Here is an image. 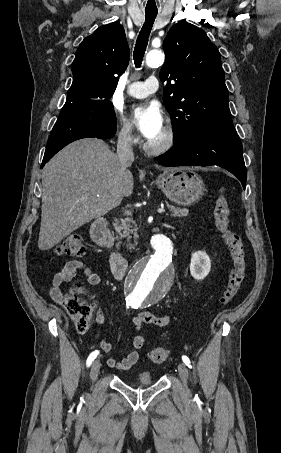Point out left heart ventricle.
Listing matches in <instances>:
<instances>
[{
	"mask_svg": "<svg viewBox=\"0 0 281 453\" xmlns=\"http://www.w3.org/2000/svg\"><path fill=\"white\" fill-rule=\"evenodd\" d=\"M148 140L154 143L163 142L165 140L164 126L157 133L149 137Z\"/></svg>",
	"mask_w": 281,
	"mask_h": 453,
	"instance_id": "obj_1",
	"label": "left heart ventricle"
}]
</instances>
